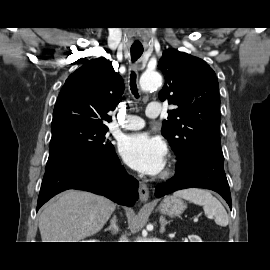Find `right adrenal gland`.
<instances>
[{
    "instance_id": "right-adrenal-gland-1",
    "label": "right adrenal gland",
    "mask_w": 270,
    "mask_h": 270,
    "mask_svg": "<svg viewBox=\"0 0 270 270\" xmlns=\"http://www.w3.org/2000/svg\"><path fill=\"white\" fill-rule=\"evenodd\" d=\"M105 231H111L113 235H116L119 232L116 215H113L112 219L110 220V226L106 228Z\"/></svg>"
}]
</instances>
